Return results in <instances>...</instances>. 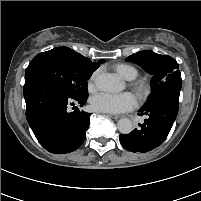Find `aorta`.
<instances>
[{
    "mask_svg": "<svg viewBox=\"0 0 201 201\" xmlns=\"http://www.w3.org/2000/svg\"><path fill=\"white\" fill-rule=\"evenodd\" d=\"M95 85L100 91L104 92H120L124 88V84L111 73L99 74L95 80ZM117 128L122 134H129L133 130V123L128 118H122L117 123Z\"/></svg>",
    "mask_w": 201,
    "mask_h": 201,
    "instance_id": "762f6f07",
    "label": "aorta"
}]
</instances>
